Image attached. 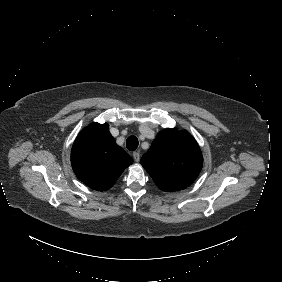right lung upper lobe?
<instances>
[{
  "mask_svg": "<svg viewBox=\"0 0 282 282\" xmlns=\"http://www.w3.org/2000/svg\"><path fill=\"white\" fill-rule=\"evenodd\" d=\"M132 162L116 144L107 123H91L84 128L71 151V164L78 179L99 191L111 188Z\"/></svg>",
  "mask_w": 282,
  "mask_h": 282,
  "instance_id": "right-lung-upper-lobe-1",
  "label": "right lung upper lobe"
}]
</instances>
